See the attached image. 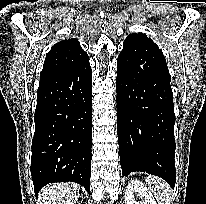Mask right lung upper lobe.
I'll list each match as a JSON object with an SVG mask.
<instances>
[{
    "mask_svg": "<svg viewBox=\"0 0 206 204\" xmlns=\"http://www.w3.org/2000/svg\"><path fill=\"white\" fill-rule=\"evenodd\" d=\"M89 59L76 39L55 44L47 54L40 79L51 77L72 69Z\"/></svg>",
    "mask_w": 206,
    "mask_h": 204,
    "instance_id": "obj_1",
    "label": "right lung upper lobe"
}]
</instances>
